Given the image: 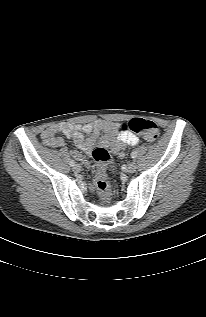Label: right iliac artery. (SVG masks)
<instances>
[{
  "instance_id": "1",
  "label": "right iliac artery",
  "mask_w": 206,
  "mask_h": 317,
  "mask_svg": "<svg viewBox=\"0 0 206 317\" xmlns=\"http://www.w3.org/2000/svg\"><path fill=\"white\" fill-rule=\"evenodd\" d=\"M70 166H71V167H74V166H75L74 160H71V161H70Z\"/></svg>"
}]
</instances>
